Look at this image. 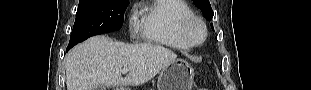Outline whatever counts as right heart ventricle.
<instances>
[{
  "instance_id": "e07e8e85",
  "label": "right heart ventricle",
  "mask_w": 311,
  "mask_h": 90,
  "mask_svg": "<svg viewBox=\"0 0 311 90\" xmlns=\"http://www.w3.org/2000/svg\"><path fill=\"white\" fill-rule=\"evenodd\" d=\"M190 5L183 0H156L142 11L141 33L144 40L178 50H190L180 35L182 22L193 17Z\"/></svg>"
}]
</instances>
